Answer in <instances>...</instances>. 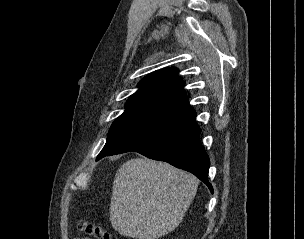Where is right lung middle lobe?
I'll return each instance as SVG.
<instances>
[{
	"label": "right lung middle lobe",
	"instance_id": "right-lung-middle-lobe-1",
	"mask_svg": "<svg viewBox=\"0 0 304 239\" xmlns=\"http://www.w3.org/2000/svg\"><path fill=\"white\" fill-rule=\"evenodd\" d=\"M166 118L143 112H124L112 124L106 144L97 160L121 148L127 143L168 122Z\"/></svg>",
	"mask_w": 304,
	"mask_h": 239
}]
</instances>
